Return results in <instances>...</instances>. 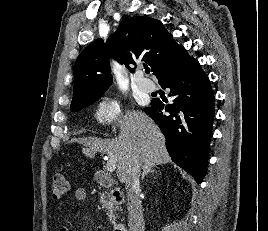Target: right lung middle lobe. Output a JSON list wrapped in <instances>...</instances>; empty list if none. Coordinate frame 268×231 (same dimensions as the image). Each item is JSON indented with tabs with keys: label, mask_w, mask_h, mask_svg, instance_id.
<instances>
[{
	"label": "right lung middle lobe",
	"mask_w": 268,
	"mask_h": 231,
	"mask_svg": "<svg viewBox=\"0 0 268 231\" xmlns=\"http://www.w3.org/2000/svg\"><path fill=\"white\" fill-rule=\"evenodd\" d=\"M99 98L96 99H91V100H87V101H82V102H78L74 105H71V111L73 112H78L81 109L91 105L92 103H94L96 100H98Z\"/></svg>",
	"instance_id": "1"
}]
</instances>
